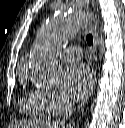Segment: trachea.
Instances as JSON below:
<instances>
[{"label": "trachea", "mask_w": 125, "mask_h": 128, "mask_svg": "<svg viewBox=\"0 0 125 128\" xmlns=\"http://www.w3.org/2000/svg\"><path fill=\"white\" fill-rule=\"evenodd\" d=\"M86 41H87L88 45L91 46L93 44V36L91 34H88L86 36Z\"/></svg>", "instance_id": "trachea-1"}]
</instances>
